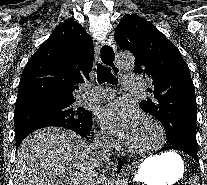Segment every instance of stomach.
<instances>
[{
	"mask_svg": "<svg viewBox=\"0 0 207 185\" xmlns=\"http://www.w3.org/2000/svg\"><path fill=\"white\" fill-rule=\"evenodd\" d=\"M184 173V162L175 152H167L147 158L135 176L145 185H173Z\"/></svg>",
	"mask_w": 207,
	"mask_h": 185,
	"instance_id": "1",
	"label": "stomach"
}]
</instances>
